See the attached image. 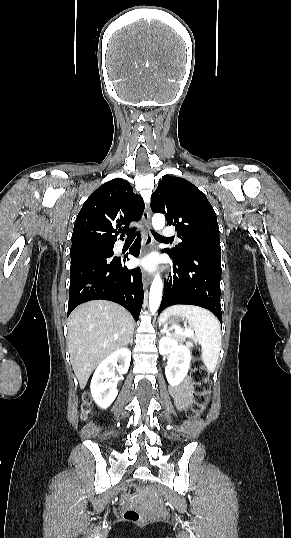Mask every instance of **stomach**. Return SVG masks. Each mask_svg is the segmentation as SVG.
<instances>
[{
    "label": "stomach",
    "instance_id": "obj_1",
    "mask_svg": "<svg viewBox=\"0 0 291 538\" xmlns=\"http://www.w3.org/2000/svg\"><path fill=\"white\" fill-rule=\"evenodd\" d=\"M180 321V317L179 316H169L166 321L164 322L165 324V327L168 325V324H171V325H177V323Z\"/></svg>",
    "mask_w": 291,
    "mask_h": 538
}]
</instances>
